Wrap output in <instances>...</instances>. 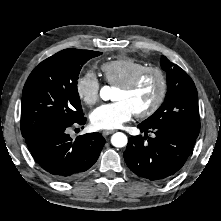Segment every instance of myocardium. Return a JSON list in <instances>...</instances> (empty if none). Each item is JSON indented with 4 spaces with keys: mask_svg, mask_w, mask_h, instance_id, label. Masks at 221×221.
I'll use <instances>...</instances> for the list:
<instances>
[{
    "mask_svg": "<svg viewBox=\"0 0 221 221\" xmlns=\"http://www.w3.org/2000/svg\"><path fill=\"white\" fill-rule=\"evenodd\" d=\"M149 73H154L157 75L159 79V91L158 94L153 101V103L146 108L145 110L139 111L135 113V116L138 118H147L151 115H153L163 104L167 92H168V77L165 71L158 67V66H145L141 70H139L133 77H131L128 81L124 82L123 84H120L117 86V89H121L124 91H129L134 89L141 81L142 79Z\"/></svg>",
    "mask_w": 221,
    "mask_h": 221,
    "instance_id": "obj_1",
    "label": "myocardium"
}]
</instances>
